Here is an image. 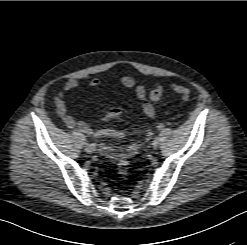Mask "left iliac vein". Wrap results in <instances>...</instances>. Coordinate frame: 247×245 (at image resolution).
<instances>
[{
  "label": "left iliac vein",
  "instance_id": "4c4485c4",
  "mask_svg": "<svg viewBox=\"0 0 247 245\" xmlns=\"http://www.w3.org/2000/svg\"><path fill=\"white\" fill-rule=\"evenodd\" d=\"M159 144V138H155L152 142V147L155 149L158 147Z\"/></svg>",
  "mask_w": 247,
  "mask_h": 245
}]
</instances>
